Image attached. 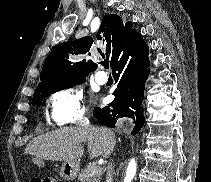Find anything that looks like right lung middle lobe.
Here are the masks:
<instances>
[{
    "label": "right lung middle lobe",
    "instance_id": "dd1d6c3e",
    "mask_svg": "<svg viewBox=\"0 0 211 182\" xmlns=\"http://www.w3.org/2000/svg\"><path fill=\"white\" fill-rule=\"evenodd\" d=\"M85 81H86V79L83 78V79H79V80L73 81L68 84L56 85V86L49 87L43 91H40L39 93H37L33 96L32 105L37 104L41 99H44L45 97L49 96L50 94H53L57 91H61L63 89L72 88L75 85L84 83Z\"/></svg>",
    "mask_w": 211,
    "mask_h": 182
}]
</instances>
